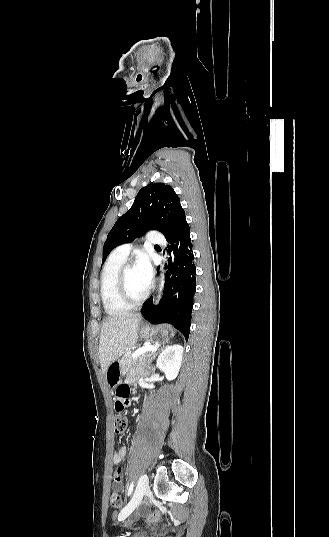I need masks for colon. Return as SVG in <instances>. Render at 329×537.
I'll return each mask as SVG.
<instances>
[{"instance_id": "1", "label": "colon", "mask_w": 329, "mask_h": 537, "mask_svg": "<svg viewBox=\"0 0 329 537\" xmlns=\"http://www.w3.org/2000/svg\"><path fill=\"white\" fill-rule=\"evenodd\" d=\"M128 426V420L124 416H117L114 421V432L115 434H122ZM110 505L118 509L122 505L121 496L117 492H113L110 496ZM160 519V515L157 512L150 513L147 517L148 523H157ZM132 525H135V522H132Z\"/></svg>"}]
</instances>
